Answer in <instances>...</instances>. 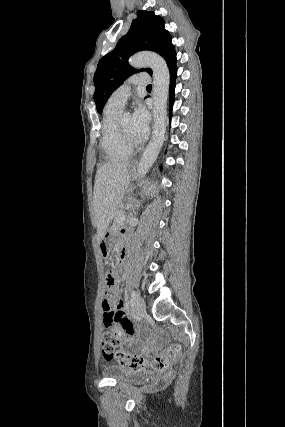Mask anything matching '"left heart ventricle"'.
Segmentation results:
<instances>
[{
    "instance_id": "obj_1",
    "label": "left heart ventricle",
    "mask_w": 285,
    "mask_h": 427,
    "mask_svg": "<svg viewBox=\"0 0 285 427\" xmlns=\"http://www.w3.org/2000/svg\"><path fill=\"white\" fill-rule=\"evenodd\" d=\"M122 126L125 130V132L127 133V135L132 139V140H137L134 133H133V123H132V117L129 114H124L122 116Z\"/></svg>"
}]
</instances>
